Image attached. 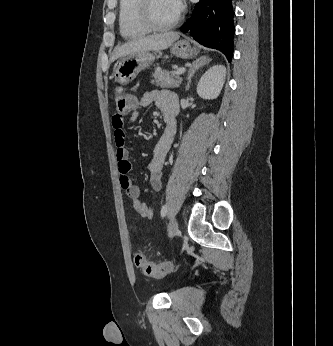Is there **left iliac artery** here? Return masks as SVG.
I'll return each mask as SVG.
<instances>
[{"instance_id": "obj_1", "label": "left iliac artery", "mask_w": 333, "mask_h": 346, "mask_svg": "<svg viewBox=\"0 0 333 346\" xmlns=\"http://www.w3.org/2000/svg\"><path fill=\"white\" fill-rule=\"evenodd\" d=\"M167 209H168V207H167L166 204L162 206V208H161V217H165L166 216Z\"/></svg>"}]
</instances>
